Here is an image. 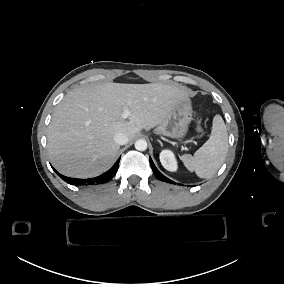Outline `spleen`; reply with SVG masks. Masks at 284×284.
Masks as SVG:
<instances>
[{
    "mask_svg": "<svg viewBox=\"0 0 284 284\" xmlns=\"http://www.w3.org/2000/svg\"><path fill=\"white\" fill-rule=\"evenodd\" d=\"M228 152V132L223 118H213L210 138L194 154L180 157L189 171H195L200 178H210L224 163Z\"/></svg>",
    "mask_w": 284,
    "mask_h": 284,
    "instance_id": "obj_1",
    "label": "spleen"
}]
</instances>
